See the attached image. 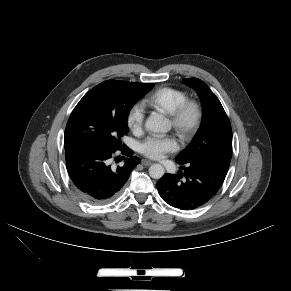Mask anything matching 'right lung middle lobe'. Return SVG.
<instances>
[{
	"label": "right lung middle lobe",
	"instance_id": "right-lung-middle-lobe-1",
	"mask_svg": "<svg viewBox=\"0 0 291 291\" xmlns=\"http://www.w3.org/2000/svg\"><path fill=\"white\" fill-rule=\"evenodd\" d=\"M154 84L108 80L90 90L76 105L67 122L64 148L87 144L119 148L128 132L132 106Z\"/></svg>",
	"mask_w": 291,
	"mask_h": 291
}]
</instances>
